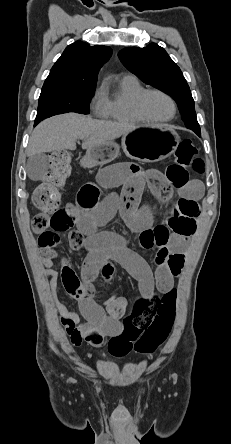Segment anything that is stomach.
Masks as SVG:
<instances>
[{"mask_svg": "<svg viewBox=\"0 0 231 444\" xmlns=\"http://www.w3.org/2000/svg\"><path fill=\"white\" fill-rule=\"evenodd\" d=\"M180 142L174 129L167 125L145 124L123 135L121 146L131 159L141 162H156L173 154ZM119 155V146L110 141L86 151L81 160L84 167H94L111 162Z\"/></svg>", "mask_w": 231, "mask_h": 444, "instance_id": "obj_1", "label": "stomach"}]
</instances>
